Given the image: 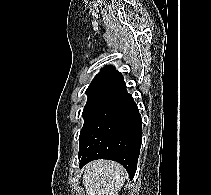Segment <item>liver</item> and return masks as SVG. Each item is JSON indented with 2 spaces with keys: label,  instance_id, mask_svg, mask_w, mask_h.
Instances as JSON below:
<instances>
[{
  "label": "liver",
  "instance_id": "liver-1",
  "mask_svg": "<svg viewBox=\"0 0 211 195\" xmlns=\"http://www.w3.org/2000/svg\"><path fill=\"white\" fill-rule=\"evenodd\" d=\"M83 184L87 195H118L127 176L119 163L99 159L83 168Z\"/></svg>",
  "mask_w": 211,
  "mask_h": 195
}]
</instances>
